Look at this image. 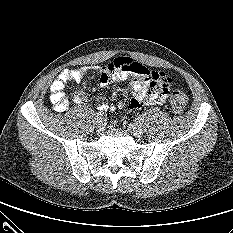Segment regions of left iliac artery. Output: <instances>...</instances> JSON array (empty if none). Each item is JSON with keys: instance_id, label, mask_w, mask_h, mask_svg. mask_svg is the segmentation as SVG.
<instances>
[{"instance_id": "obj_1", "label": "left iliac artery", "mask_w": 233, "mask_h": 233, "mask_svg": "<svg viewBox=\"0 0 233 233\" xmlns=\"http://www.w3.org/2000/svg\"><path fill=\"white\" fill-rule=\"evenodd\" d=\"M136 121L139 122V123H141V122L143 121L142 116H138V117L136 118Z\"/></svg>"}]
</instances>
